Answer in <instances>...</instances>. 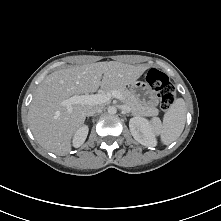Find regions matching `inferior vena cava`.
<instances>
[{
  "label": "inferior vena cava",
  "instance_id": "602c4592",
  "mask_svg": "<svg viewBox=\"0 0 221 221\" xmlns=\"http://www.w3.org/2000/svg\"><path fill=\"white\" fill-rule=\"evenodd\" d=\"M103 110V107L102 106H95L93 107L92 110H90L88 113H87V116H92L96 113H100L101 111Z\"/></svg>",
  "mask_w": 221,
  "mask_h": 221
}]
</instances>
